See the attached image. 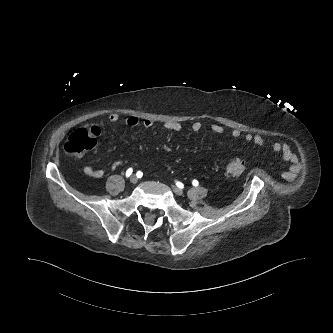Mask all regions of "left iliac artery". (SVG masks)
<instances>
[{
  "label": "left iliac artery",
  "instance_id": "1",
  "mask_svg": "<svg viewBox=\"0 0 333 333\" xmlns=\"http://www.w3.org/2000/svg\"><path fill=\"white\" fill-rule=\"evenodd\" d=\"M192 184H193V186H198L199 182H198L197 180H193V181H192ZM177 186H178L179 188H183V184L180 183V182H177Z\"/></svg>",
  "mask_w": 333,
  "mask_h": 333
}]
</instances>
